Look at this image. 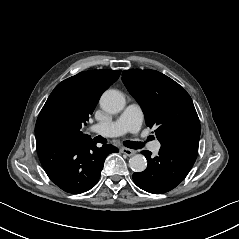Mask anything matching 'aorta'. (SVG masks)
<instances>
[{"label":"aorta","mask_w":239,"mask_h":239,"mask_svg":"<svg viewBox=\"0 0 239 239\" xmlns=\"http://www.w3.org/2000/svg\"><path fill=\"white\" fill-rule=\"evenodd\" d=\"M125 96L118 90H106L100 98L101 108L111 114L120 112L125 106ZM129 166L134 172H143L147 167V161L141 154L134 155L129 160Z\"/></svg>","instance_id":"aorta-1"}]
</instances>
